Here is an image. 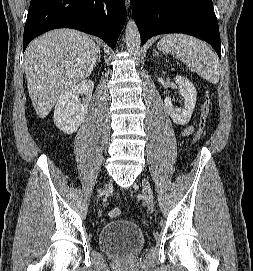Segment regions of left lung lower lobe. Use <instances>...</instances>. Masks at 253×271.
<instances>
[{
    "label": "left lung lower lobe",
    "instance_id": "obj_1",
    "mask_svg": "<svg viewBox=\"0 0 253 271\" xmlns=\"http://www.w3.org/2000/svg\"><path fill=\"white\" fill-rule=\"evenodd\" d=\"M141 45L152 36L185 33L208 42L221 58V41L212 0H132Z\"/></svg>",
    "mask_w": 253,
    "mask_h": 271
}]
</instances>
